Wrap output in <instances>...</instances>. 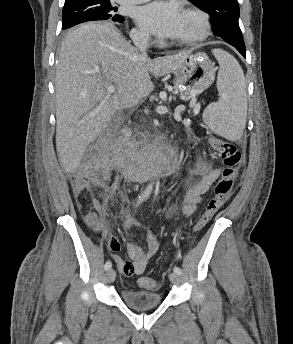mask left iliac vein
Returning a JSON list of instances; mask_svg holds the SVG:
<instances>
[{
  "label": "left iliac vein",
  "instance_id": "left-iliac-vein-1",
  "mask_svg": "<svg viewBox=\"0 0 293 344\" xmlns=\"http://www.w3.org/2000/svg\"><path fill=\"white\" fill-rule=\"evenodd\" d=\"M169 279H170L171 283L175 284V285H179L180 281H181L180 275H178L175 272L170 273Z\"/></svg>",
  "mask_w": 293,
  "mask_h": 344
}]
</instances>
